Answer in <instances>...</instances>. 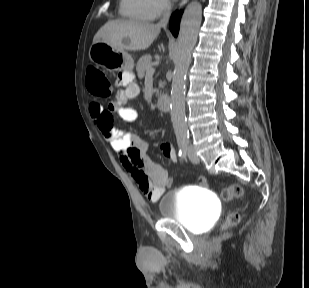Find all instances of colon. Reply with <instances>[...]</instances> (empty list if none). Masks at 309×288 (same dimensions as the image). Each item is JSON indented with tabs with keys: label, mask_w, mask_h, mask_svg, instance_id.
<instances>
[{
	"label": "colon",
	"mask_w": 309,
	"mask_h": 288,
	"mask_svg": "<svg viewBox=\"0 0 309 288\" xmlns=\"http://www.w3.org/2000/svg\"><path fill=\"white\" fill-rule=\"evenodd\" d=\"M86 84L88 91L97 97H107L112 92V85L106 74L95 67H89ZM198 181L202 186L207 185V179L204 176L199 177ZM168 183L173 184V180H168ZM221 196L226 201L242 198L244 196V189L240 184H231L222 190ZM239 220V215L233 213L228 217V224L235 225Z\"/></svg>",
	"instance_id": "obj_1"
}]
</instances>
